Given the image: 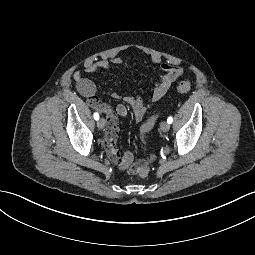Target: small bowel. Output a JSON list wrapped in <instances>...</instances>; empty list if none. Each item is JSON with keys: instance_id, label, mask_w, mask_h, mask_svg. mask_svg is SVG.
<instances>
[{"instance_id": "small-bowel-1", "label": "small bowel", "mask_w": 255, "mask_h": 255, "mask_svg": "<svg viewBox=\"0 0 255 255\" xmlns=\"http://www.w3.org/2000/svg\"><path fill=\"white\" fill-rule=\"evenodd\" d=\"M151 62L160 66V79L153 88L151 103L158 102L170 89L171 85L182 75L183 69L172 62H162L159 57H153ZM111 66H123V61L120 57L100 58L97 60L87 61L84 64L87 72H96L101 69H109ZM74 80L79 93L86 98L87 103L94 109L103 112L107 117V129L104 146L109 159L117 165L121 172L135 174L141 165H147L156 159V155L152 154L147 160L141 161L139 164H132L133 155L126 151L122 156L117 147L118 121L117 116L125 117L128 112V107L132 109L133 116L136 121H141L149 111L151 104H146L139 96H121L117 93L113 94V98L121 99L123 102L115 108L105 102H102L96 96V86L92 80L82 75L80 71L74 72Z\"/></svg>"}]
</instances>
